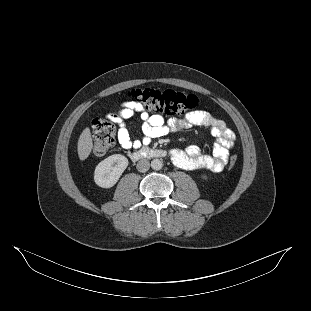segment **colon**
Instances as JSON below:
<instances>
[{"mask_svg": "<svg viewBox=\"0 0 311 311\" xmlns=\"http://www.w3.org/2000/svg\"><path fill=\"white\" fill-rule=\"evenodd\" d=\"M135 102L147 110L165 115H179L194 109L198 105V98L194 94L175 90H155L151 88L135 89L129 94ZM94 146L93 152L97 156L105 155L113 146L115 128L104 117H96L92 121ZM237 163V155H233L229 161L232 169Z\"/></svg>", "mask_w": 311, "mask_h": 311, "instance_id": "colon-1", "label": "colon"}]
</instances>
